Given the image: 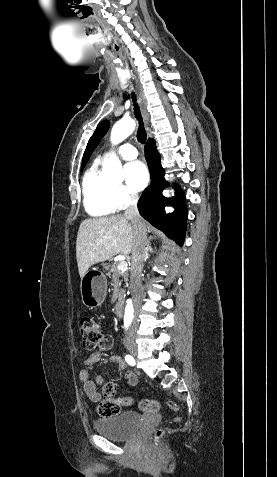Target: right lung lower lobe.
I'll list each match as a JSON object with an SVG mask.
<instances>
[{
  "label": "right lung lower lobe",
  "mask_w": 277,
  "mask_h": 477,
  "mask_svg": "<svg viewBox=\"0 0 277 477\" xmlns=\"http://www.w3.org/2000/svg\"><path fill=\"white\" fill-rule=\"evenodd\" d=\"M145 158L148 163L151 184L145 189L138 201V210L142 217L153 226L162 230L182 245L185 238L187 208L184 194L179 189L172 199L165 198L162 191L168 186L164 179L160 154L155 141L149 139L145 146ZM171 204L175 211L166 214L164 207Z\"/></svg>",
  "instance_id": "98d812e1"
}]
</instances>
